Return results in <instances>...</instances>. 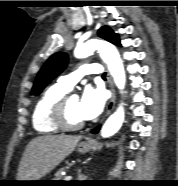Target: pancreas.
Returning <instances> with one entry per match:
<instances>
[{
    "label": "pancreas",
    "instance_id": "cf45deb5",
    "mask_svg": "<svg viewBox=\"0 0 178 186\" xmlns=\"http://www.w3.org/2000/svg\"><path fill=\"white\" fill-rule=\"evenodd\" d=\"M66 168H62L60 169L56 174H55V178L54 181H63V176L61 174L62 171H64Z\"/></svg>",
    "mask_w": 178,
    "mask_h": 186
}]
</instances>
